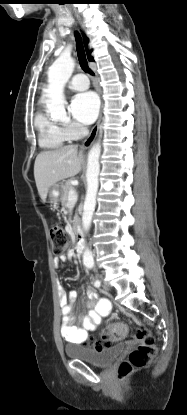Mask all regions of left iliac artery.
I'll list each match as a JSON object with an SVG mask.
<instances>
[{
  "mask_svg": "<svg viewBox=\"0 0 187 415\" xmlns=\"http://www.w3.org/2000/svg\"><path fill=\"white\" fill-rule=\"evenodd\" d=\"M90 268H93V265L90 266ZM100 284H101V282L99 280H96L94 285H95V287H100Z\"/></svg>",
  "mask_w": 187,
  "mask_h": 415,
  "instance_id": "obj_1",
  "label": "left iliac artery"
}]
</instances>
